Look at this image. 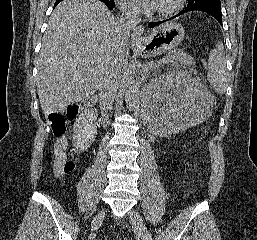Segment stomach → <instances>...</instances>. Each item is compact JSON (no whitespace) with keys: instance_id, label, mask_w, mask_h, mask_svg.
<instances>
[{"instance_id":"1","label":"stomach","mask_w":257,"mask_h":240,"mask_svg":"<svg viewBox=\"0 0 257 240\" xmlns=\"http://www.w3.org/2000/svg\"><path fill=\"white\" fill-rule=\"evenodd\" d=\"M184 34L180 23L168 22L153 29L140 45H133L134 50L145 57L168 52L183 40Z\"/></svg>"}]
</instances>
